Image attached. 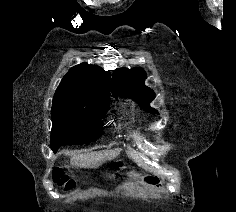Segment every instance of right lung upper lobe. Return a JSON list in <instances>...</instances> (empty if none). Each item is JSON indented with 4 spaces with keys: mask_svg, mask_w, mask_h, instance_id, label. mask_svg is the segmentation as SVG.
<instances>
[{
    "mask_svg": "<svg viewBox=\"0 0 236 212\" xmlns=\"http://www.w3.org/2000/svg\"><path fill=\"white\" fill-rule=\"evenodd\" d=\"M110 72L97 65L81 63L72 67L60 82L53 105L93 107L110 100Z\"/></svg>",
    "mask_w": 236,
    "mask_h": 212,
    "instance_id": "1",
    "label": "right lung upper lobe"
}]
</instances>
